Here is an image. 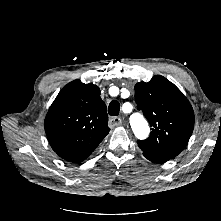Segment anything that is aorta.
<instances>
[{"instance_id": "762f6f07", "label": "aorta", "mask_w": 221, "mask_h": 221, "mask_svg": "<svg viewBox=\"0 0 221 221\" xmlns=\"http://www.w3.org/2000/svg\"><path fill=\"white\" fill-rule=\"evenodd\" d=\"M132 129L134 134L140 139L147 137L149 133V127L143 119L133 120Z\"/></svg>"}]
</instances>
